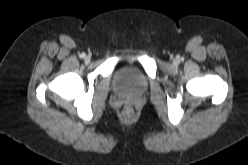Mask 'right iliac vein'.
I'll return each mask as SVG.
<instances>
[{
	"label": "right iliac vein",
	"instance_id": "63e3f726",
	"mask_svg": "<svg viewBox=\"0 0 248 165\" xmlns=\"http://www.w3.org/2000/svg\"><path fill=\"white\" fill-rule=\"evenodd\" d=\"M84 60H85L86 62H88V61H90V57H89V56H85V57H84Z\"/></svg>",
	"mask_w": 248,
	"mask_h": 165
}]
</instances>
